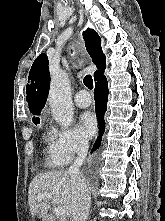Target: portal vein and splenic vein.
I'll return each mask as SVG.
<instances>
[{"instance_id": "portal-vein-and-splenic-vein-1", "label": "portal vein and splenic vein", "mask_w": 165, "mask_h": 221, "mask_svg": "<svg viewBox=\"0 0 165 221\" xmlns=\"http://www.w3.org/2000/svg\"><path fill=\"white\" fill-rule=\"evenodd\" d=\"M44 197L51 199L52 195L50 193H43V194L38 196V200H40ZM54 213H55L56 216H64L65 215V210H64L63 207L57 206V207L54 208Z\"/></svg>"}]
</instances>
